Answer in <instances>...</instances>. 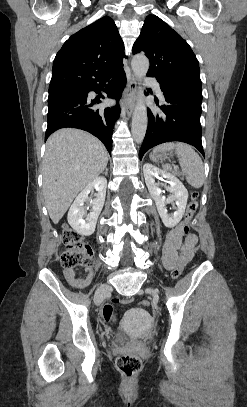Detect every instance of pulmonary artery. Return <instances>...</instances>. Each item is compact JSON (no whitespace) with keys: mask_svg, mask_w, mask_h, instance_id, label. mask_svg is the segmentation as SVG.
<instances>
[{"mask_svg":"<svg viewBox=\"0 0 247 407\" xmlns=\"http://www.w3.org/2000/svg\"><path fill=\"white\" fill-rule=\"evenodd\" d=\"M145 80L147 83L151 84L153 86V88L155 89V91L157 92V94L162 97V91L160 89L159 83L157 82V80L153 77L147 76L145 77Z\"/></svg>","mask_w":247,"mask_h":407,"instance_id":"1","label":"pulmonary artery"}]
</instances>
